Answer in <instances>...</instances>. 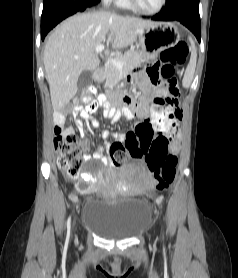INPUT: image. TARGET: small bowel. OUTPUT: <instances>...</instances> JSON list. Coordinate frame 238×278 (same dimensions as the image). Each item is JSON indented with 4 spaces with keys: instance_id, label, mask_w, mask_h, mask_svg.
I'll use <instances>...</instances> for the list:
<instances>
[{
    "instance_id": "1",
    "label": "small bowel",
    "mask_w": 238,
    "mask_h": 278,
    "mask_svg": "<svg viewBox=\"0 0 238 278\" xmlns=\"http://www.w3.org/2000/svg\"><path fill=\"white\" fill-rule=\"evenodd\" d=\"M160 59H150V64L148 67H145V75L138 73L135 74L138 84L143 89V96L140 103H136L135 100H124V105L120 107H116L113 102L106 95H99L96 100L97 106L102 108V115L105 118L110 119L112 122H117L121 118L125 119H133L135 116H140L143 118H148L149 113L151 112V105H148V100L151 98H158V93H152L153 89H162V80L163 77L160 76V72H162L163 64H160ZM145 76H150L149 80ZM74 122L77 129L82 132L83 130V121L82 119H86L90 122L91 126L94 128H100L99 121L94 117V112L87 111L86 109L77 108L73 112ZM54 130L55 133H74V129L72 127H64L65 123V114L63 112H55L54 113ZM82 118V119H81ZM181 119V111L179 109H175V117H174V127L173 129L165 133L163 135L156 134L155 127H140L143 125L149 124V119L144 122L136 125L132 130L127 132L126 134H118V133H109L107 131H102V137L104 139V146H100L96 149L93 155L84 154L83 160L85 162H89L91 159L101 160L103 163H109V160L103 155L104 150H110V147L114 143H129L136 142L139 143L140 137H152L151 144H169L172 153L178 151L180 147L179 141V130H178V122ZM109 137H113L115 142L111 143L107 139ZM81 146L84 151H87L89 148V144L86 140L81 141ZM154 187V182L151 179H148L146 182V189H152ZM79 191H83L84 188L82 186H78ZM72 200H76L77 197L74 194L70 195Z\"/></svg>"
}]
</instances>
